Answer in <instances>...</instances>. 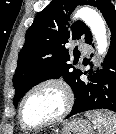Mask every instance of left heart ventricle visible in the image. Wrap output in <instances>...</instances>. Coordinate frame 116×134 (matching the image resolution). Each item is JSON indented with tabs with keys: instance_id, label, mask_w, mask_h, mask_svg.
Masks as SVG:
<instances>
[{
	"instance_id": "left-heart-ventricle-1",
	"label": "left heart ventricle",
	"mask_w": 116,
	"mask_h": 134,
	"mask_svg": "<svg viewBox=\"0 0 116 134\" xmlns=\"http://www.w3.org/2000/svg\"><path fill=\"white\" fill-rule=\"evenodd\" d=\"M61 91L53 86L34 91L25 101L23 117L29 124H39L52 119L63 109Z\"/></svg>"
}]
</instances>
